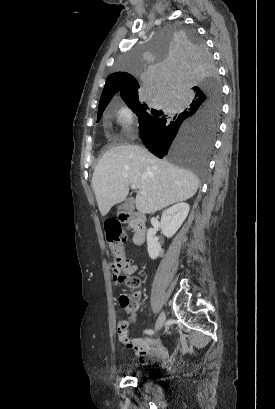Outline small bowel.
Instances as JSON below:
<instances>
[{"mask_svg": "<svg viewBox=\"0 0 275 409\" xmlns=\"http://www.w3.org/2000/svg\"><path fill=\"white\" fill-rule=\"evenodd\" d=\"M133 274L137 273V270L133 265H128L125 269ZM119 268H114L111 274V283L116 286H125L126 280L121 279ZM120 279V280H119ZM128 281V280H127ZM117 329L119 330V344L121 350L134 351L135 348L138 351L139 359L142 363H148L155 360H165L167 356V350L163 347L160 341L156 338H149L146 340L136 339L131 337L128 332V327L124 322H119L117 324Z\"/></svg>", "mask_w": 275, "mask_h": 409, "instance_id": "1", "label": "small bowel"}]
</instances>
